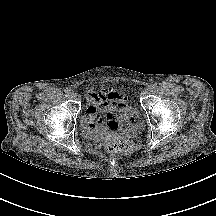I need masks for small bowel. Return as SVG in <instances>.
<instances>
[{"label":"small bowel","instance_id":"1","mask_svg":"<svg viewBox=\"0 0 216 216\" xmlns=\"http://www.w3.org/2000/svg\"><path fill=\"white\" fill-rule=\"evenodd\" d=\"M87 107L82 119L84 131L95 137H103L118 127L120 117L129 118L131 111L127 106L125 93L116 88H104L100 91L89 90L86 95ZM106 114V125L101 117Z\"/></svg>","mask_w":216,"mask_h":216}]
</instances>
